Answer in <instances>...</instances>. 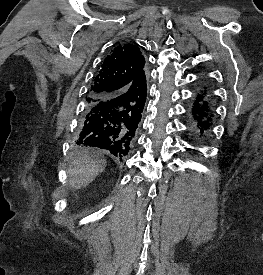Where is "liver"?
I'll list each match as a JSON object with an SVG mask.
<instances>
[{
    "label": "liver",
    "mask_w": 263,
    "mask_h": 275,
    "mask_svg": "<svg viewBox=\"0 0 263 275\" xmlns=\"http://www.w3.org/2000/svg\"><path fill=\"white\" fill-rule=\"evenodd\" d=\"M105 168V164L89 156L74 160L68 170L69 184L74 189L88 186Z\"/></svg>",
    "instance_id": "6515ba94"
}]
</instances>
